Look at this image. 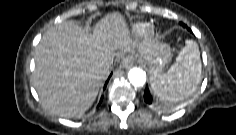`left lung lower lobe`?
I'll list each match as a JSON object with an SVG mask.
<instances>
[{
  "label": "left lung lower lobe",
  "instance_id": "left-lung-lower-lobe-1",
  "mask_svg": "<svg viewBox=\"0 0 236 135\" xmlns=\"http://www.w3.org/2000/svg\"><path fill=\"white\" fill-rule=\"evenodd\" d=\"M183 27H186L187 30H190L186 25H184L183 23H180ZM144 101L148 104H152L153 103V98L148 90V87H146L145 92H144Z\"/></svg>",
  "mask_w": 236,
  "mask_h": 135
}]
</instances>
